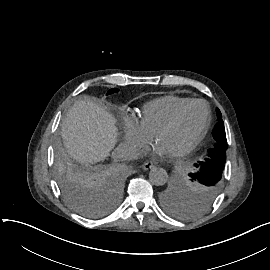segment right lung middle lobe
Masks as SVG:
<instances>
[{
  "mask_svg": "<svg viewBox=\"0 0 270 270\" xmlns=\"http://www.w3.org/2000/svg\"><path fill=\"white\" fill-rule=\"evenodd\" d=\"M110 89L107 95L118 92ZM56 179L66 203L76 212L87 216L97 217L103 213L93 205V190L99 182L111 188L113 195L120 191V181L110 171L95 172L80 169L64 157H60L56 168Z\"/></svg>",
  "mask_w": 270,
  "mask_h": 270,
  "instance_id": "1",
  "label": "right lung middle lobe"
}]
</instances>
